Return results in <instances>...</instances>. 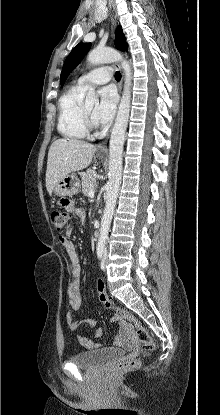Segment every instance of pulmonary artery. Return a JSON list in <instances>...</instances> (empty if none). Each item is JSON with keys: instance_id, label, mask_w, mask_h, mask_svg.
Instances as JSON below:
<instances>
[{"instance_id": "1", "label": "pulmonary artery", "mask_w": 220, "mask_h": 415, "mask_svg": "<svg viewBox=\"0 0 220 415\" xmlns=\"http://www.w3.org/2000/svg\"><path fill=\"white\" fill-rule=\"evenodd\" d=\"M112 69L108 66H103L94 69L93 71L82 75L76 82V87L84 89L89 85H100L109 82L112 79Z\"/></svg>"}]
</instances>
